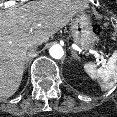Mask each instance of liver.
<instances>
[{
	"instance_id": "obj_1",
	"label": "liver",
	"mask_w": 117,
	"mask_h": 117,
	"mask_svg": "<svg viewBox=\"0 0 117 117\" xmlns=\"http://www.w3.org/2000/svg\"><path fill=\"white\" fill-rule=\"evenodd\" d=\"M86 7L74 0H43L0 12V99L19 88L27 50L47 42Z\"/></svg>"
}]
</instances>
